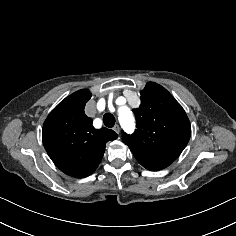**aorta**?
<instances>
[{"label":"aorta","mask_w":236,"mask_h":236,"mask_svg":"<svg viewBox=\"0 0 236 236\" xmlns=\"http://www.w3.org/2000/svg\"><path fill=\"white\" fill-rule=\"evenodd\" d=\"M119 121L122 128L126 131H131L135 127V119L132 112L127 107H122L119 110Z\"/></svg>","instance_id":"1"}]
</instances>
